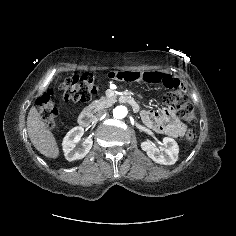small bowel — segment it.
<instances>
[{"label": "small bowel", "instance_id": "small-bowel-1", "mask_svg": "<svg viewBox=\"0 0 236 236\" xmlns=\"http://www.w3.org/2000/svg\"><path fill=\"white\" fill-rule=\"evenodd\" d=\"M111 81H117L120 84L127 82H144L162 85L167 88L180 87V81L175 77L161 71L136 72L129 68L125 71H119L111 68L106 76L100 75L95 80V85L100 90L109 87ZM143 122L155 132L165 134L171 137H182L185 133V125L176 117L172 108L159 110H144L141 112Z\"/></svg>", "mask_w": 236, "mask_h": 236}]
</instances>
